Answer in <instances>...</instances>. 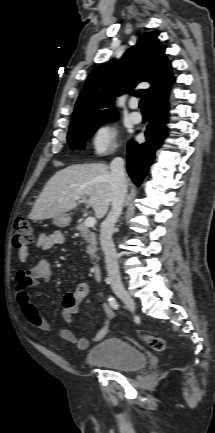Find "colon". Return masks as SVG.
<instances>
[{
    "label": "colon",
    "instance_id": "colon-1",
    "mask_svg": "<svg viewBox=\"0 0 215 433\" xmlns=\"http://www.w3.org/2000/svg\"><path fill=\"white\" fill-rule=\"evenodd\" d=\"M33 242V229L30 222L23 217H19L14 223L13 246L21 249ZM146 343L155 351L162 352L166 349L165 340L161 337L147 336Z\"/></svg>",
    "mask_w": 215,
    "mask_h": 433
}]
</instances>
